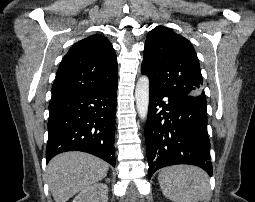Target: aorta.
<instances>
[{
  "mask_svg": "<svg viewBox=\"0 0 255 202\" xmlns=\"http://www.w3.org/2000/svg\"><path fill=\"white\" fill-rule=\"evenodd\" d=\"M149 78L146 75H142L135 88V100L136 107L139 114V117L145 121L148 115L149 107Z\"/></svg>",
  "mask_w": 255,
  "mask_h": 202,
  "instance_id": "762f6f07",
  "label": "aorta"
}]
</instances>
